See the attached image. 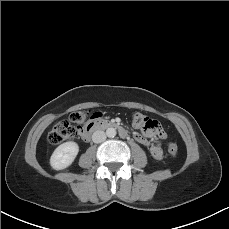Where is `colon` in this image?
<instances>
[{"instance_id":"1","label":"colon","mask_w":229,"mask_h":229,"mask_svg":"<svg viewBox=\"0 0 229 229\" xmlns=\"http://www.w3.org/2000/svg\"><path fill=\"white\" fill-rule=\"evenodd\" d=\"M95 115L97 114L88 110L75 111L71 113L68 121H60L53 126L49 134V142L57 145L67 139L77 137L84 130L88 119L95 117ZM133 124L138 128L150 129L155 132L161 130V125L158 121L141 113H135L133 115ZM167 148L171 156L177 155L178 146L176 143H169Z\"/></svg>"}]
</instances>
